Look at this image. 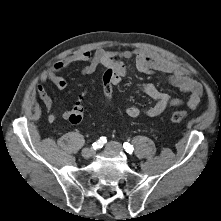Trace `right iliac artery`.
Returning a JSON list of instances; mask_svg holds the SVG:
<instances>
[{
  "label": "right iliac artery",
  "instance_id": "obj_1",
  "mask_svg": "<svg viewBox=\"0 0 221 221\" xmlns=\"http://www.w3.org/2000/svg\"><path fill=\"white\" fill-rule=\"evenodd\" d=\"M107 142L106 137H100L95 143H93V149H99L102 148L103 145Z\"/></svg>",
  "mask_w": 221,
  "mask_h": 221
}]
</instances>
